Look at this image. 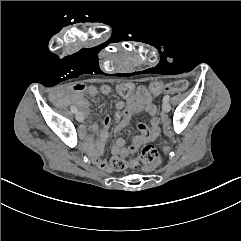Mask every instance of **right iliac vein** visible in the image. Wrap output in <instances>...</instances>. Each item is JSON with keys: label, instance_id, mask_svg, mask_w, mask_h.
Returning a JSON list of instances; mask_svg holds the SVG:
<instances>
[{"label": "right iliac vein", "instance_id": "1", "mask_svg": "<svg viewBox=\"0 0 241 241\" xmlns=\"http://www.w3.org/2000/svg\"><path fill=\"white\" fill-rule=\"evenodd\" d=\"M76 120L82 122L84 120L83 113L81 111L76 113Z\"/></svg>", "mask_w": 241, "mask_h": 241}]
</instances>
